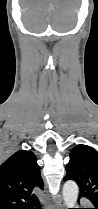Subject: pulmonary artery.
Returning a JSON list of instances; mask_svg holds the SVG:
<instances>
[{
    "mask_svg": "<svg viewBox=\"0 0 98 209\" xmlns=\"http://www.w3.org/2000/svg\"><path fill=\"white\" fill-rule=\"evenodd\" d=\"M83 204H90L88 200H83Z\"/></svg>",
    "mask_w": 98,
    "mask_h": 209,
    "instance_id": "obj_1",
    "label": "pulmonary artery"
}]
</instances>
